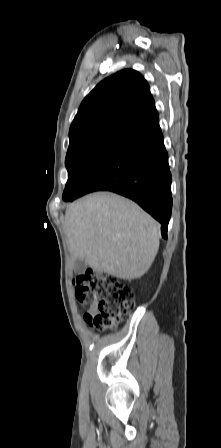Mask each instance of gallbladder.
Instances as JSON below:
<instances>
[{"label":"gallbladder","mask_w":221,"mask_h":448,"mask_svg":"<svg viewBox=\"0 0 221 448\" xmlns=\"http://www.w3.org/2000/svg\"><path fill=\"white\" fill-rule=\"evenodd\" d=\"M86 269V263L84 260L77 259L74 262V270L76 272H83Z\"/></svg>","instance_id":"gallbladder-1"}]
</instances>
